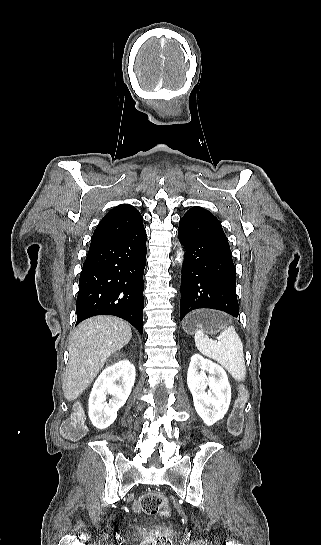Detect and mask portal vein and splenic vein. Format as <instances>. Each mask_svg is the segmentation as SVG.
I'll return each mask as SVG.
<instances>
[{
  "label": "portal vein and splenic vein",
  "instance_id": "obj_1",
  "mask_svg": "<svg viewBox=\"0 0 321 545\" xmlns=\"http://www.w3.org/2000/svg\"><path fill=\"white\" fill-rule=\"evenodd\" d=\"M218 344H223V341H218Z\"/></svg>",
  "mask_w": 321,
  "mask_h": 545
}]
</instances>
